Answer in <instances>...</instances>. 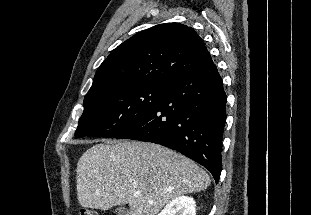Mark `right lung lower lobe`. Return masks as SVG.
I'll use <instances>...</instances> for the list:
<instances>
[{
    "label": "right lung lower lobe",
    "mask_w": 311,
    "mask_h": 215,
    "mask_svg": "<svg viewBox=\"0 0 311 215\" xmlns=\"http://www.w3.org/2000/svg\"><path fill=\"white\" fill-rule=\"evenodd\" d=\"M160 104L117 139L153 142L207 168L218 183L227 97L214 63L164 84Z\"/></svg>",
    "instance_id": "right-lung-lower-lobe-1"
}]
</instances>
